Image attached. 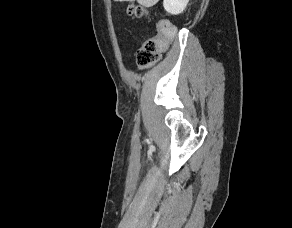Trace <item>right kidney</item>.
Returning <instances> with one entry per match:
<instances>
[{
	"instance_id": "ca27d5eb",
	"label": "right kidney",
	"mask_w": 292,
	"mask_h": 228,
	"mask_svg": "<svg viewBox=\"0 0 292 228\" xmlns=\"http://www.w3.org/2000/svg\"><path fill=\"white\" fill-rule=\"evenodd\" d=\"M188 2L189 0H164L163 6L168 13L178 15L185 10Z\"/></svg>"
}]
</instances>
